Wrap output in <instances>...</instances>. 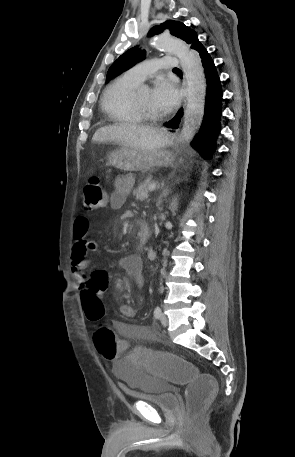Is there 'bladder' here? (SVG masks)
<instances>
[{
  "mask_svg": "<svg viewBox=\"0 0 295 457\" xmlns=\"http://www.w3.org/2000/svg\"><path fill=\"white\" fill-rule=\"evenodd\" d=\"M124 359L115 362L113 373L132 397L151 402L161 407V411H180V402L170 391L168 378L143 374L140 366H125Z\"/></svg>",
  "mask_w": 295,
  "mask_h": 457,
  "instance_id": "1",
  "label": "bladder"
}]
</instances>
